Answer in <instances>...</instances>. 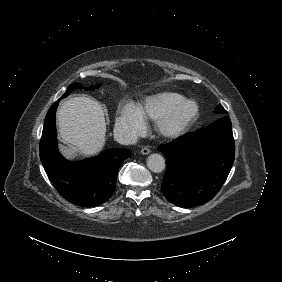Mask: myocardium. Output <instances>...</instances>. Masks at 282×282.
I'll list each match as a JSON object with an SVG mask.
<instances>
[{"mask_svg": "<svg viewBox=\"0 0 282 282\" xmlns=\"http://www.w3.org/2000/svg\"><path fill=\"white\" fill-rule=\"evenodd\" d=\"M190 104H193L192 101L182 99L161 118V129L165 134L175 135L196 119L197 114L195 112L187 111V106Z\"/></svg>", "mask_w": 282, "mask_h": 282, "instance_id": "obj_1", "label": "myocardium"}]
</instances>
